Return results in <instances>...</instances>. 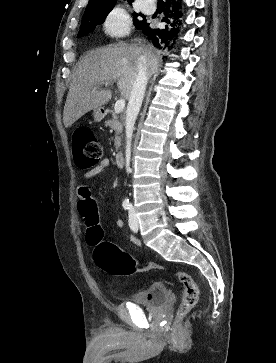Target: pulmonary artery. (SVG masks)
Here are the masks:
<instances>
[{"label": "pulmonary artery", "mask_w": 276, "mask_h": 363, "mask_svg": "<svg viewBox=\"0 0 276 363\" xmlns=\"http://www.w3.org/2000/svg\"><path fill=\"white\" fill-rule=\"evenodd\" d=\"M152 2V0H144L143 1V11L147 14L153 13L154 9L149 7V3Z\"/></svg>", "instance_id": "1"}]
</instances>
